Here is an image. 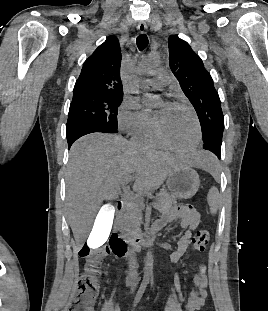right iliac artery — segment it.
Returning <instances> with one entry per match:
<instances>
[{"instance_id":"82829eb1","label":"right iliac artery","mask_w":268,"mask_h":311,"mask_svg":"<svg viewBox=\"0 0 268 311\" xmlns=\"http://www.w3.org/2000/svg\"><path fill=\"white\" fill-rule=\"evenodd\" d=\"M146 286H147V280L144 279L142 281L137 293H136L135 298H134L133 307H135L140 302L142 295L146 289Z\"/></svg>"}]
</instances>
